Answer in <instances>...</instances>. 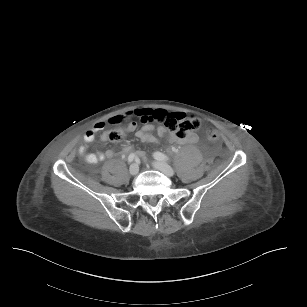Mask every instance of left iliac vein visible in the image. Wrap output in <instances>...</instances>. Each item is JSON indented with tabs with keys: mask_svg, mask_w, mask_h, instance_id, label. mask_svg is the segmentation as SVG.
I'll use <instances>...</instances> for the list:
<instances>
[{
	"mask_svg": "<svg viewBox=\"0 0 307 307\" xmlns=\"http://www.w3.org/2000/svg\"><path fill=\"white\" fill-rule=\"evenodd\" d=\"M153 166L167 176H173L175 173L174 169L163 161H156Z\"/></svg>",
	"mask_w": 307,
	"mask_h": 307,
	"instance_id": "left-iliac-vein-1",
	"label": "left iliac vein"
}]
</instances>
